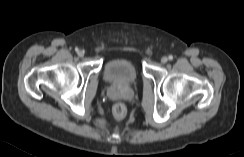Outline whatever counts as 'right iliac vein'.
I'll list each match as a JSON object with an SVG mask.
<instances>
[{
    "label": "right iliac vein",
    "mask_w": 244,
    "mask_h": 157,
    "mask_svg": "<svg viewBox=\"0 0 244 157\" xmlns=\"http://www.w3.org/2000/svg\"><path fill=\"white\" fill-rule=\"evenodd\" d=\"M78 56L83 57V56H84V51H82V50L79 51V52H78Z\"/></svg>",
    "instance_id": "obj_1"
}]
</instances>
